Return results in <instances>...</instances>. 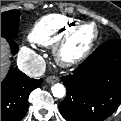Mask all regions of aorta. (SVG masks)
Here are the masks:
<instances>
[{
	"label": "aorta",
	"instance_id": "1",
	"mask_svg": "<svg viewBox=\"0 0 121 121\" xmlns=\"http://www.w3.org/2000/svg\"><path fill=\"white\" fill-rule=\"evenodd\" d=\"M53 95L56 98H62L65 96L66 94V89L64 87V85L60 84V83H56L52 86L51 88Z\"/></svg>",
	"mask_w": 121,
	"mask_h": 121
}]
</instances>
